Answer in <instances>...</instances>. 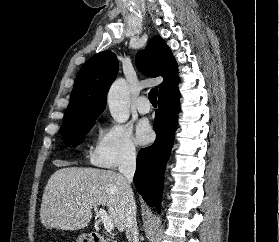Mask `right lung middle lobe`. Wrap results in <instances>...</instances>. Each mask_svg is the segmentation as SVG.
Returning a JSON list of instances; mask_svg holds the SVG:
<instances>
[{
  "instance_id": "1",
  "label": "right lung middle lobe",
  "mask_w": 279,
  "mask_h": 242,
  "mask_svg": "<svg viewBox=\"0 0 279 242\" xmlns=\"http://www.w3.org/2000/svg\"><path fill=\"white\" fill-rule=\"evenodd\" d=\"M97 117H90L77 124H69L61 126V134L65 137V144H73L77 146L85 134L91 129Z\"/></svg>"
}]
</instances>
